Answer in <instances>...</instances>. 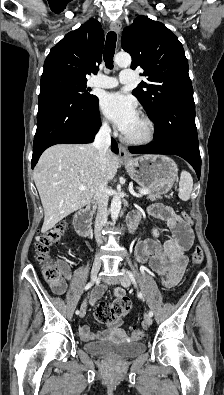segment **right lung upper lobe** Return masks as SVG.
Instances as JSON below:
<instances>
[{
  "label": "right lung upper lobe",
  "mask_w": 224,
  "mask_h": 395,
  "mask_svg": "<svg viewBox=\"0 0 224 395\" xmlns=\"http://www.w3.org/2000/svg\"><path fill=\"white\" fill-rule=\"evenodd\" d=\"M104 33L96 19H89L78 29L69 32L54 46L44 63L43 74L62 72L78 79L96 72L102 59Z\"/></svg>",
  "instance_id": "cb5924a9"
}]
</instances>
